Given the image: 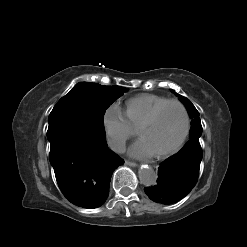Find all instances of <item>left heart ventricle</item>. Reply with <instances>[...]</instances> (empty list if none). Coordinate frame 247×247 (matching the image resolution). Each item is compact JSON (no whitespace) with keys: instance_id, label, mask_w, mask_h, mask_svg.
<instances>
[{"instance_id":"left-heart-ventricle-1","label":"left heart ventricle","mask_w":247,"mask_h":247,"mask_svg":"<svg viewBox=\"0 0 247 247\" xmlns=\"http://www.w3.org/2000/svg\"><path fill=\"white\" fill-rule=\"evenodd\" d=\"M184 129V117L177 105L167 106L155 122L142 129L139 137L151 148L153 153H159L171 148L180 138Z\"/></svg>"}]
</instances>
